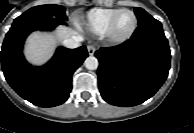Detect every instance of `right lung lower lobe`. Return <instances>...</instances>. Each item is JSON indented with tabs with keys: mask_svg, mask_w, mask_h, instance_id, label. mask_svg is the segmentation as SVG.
Segmentation results:
<instances>
[{
	"mask_svg": "<svg viewBox=\"0 0 194 133\" xmlns=\"http://www.w3.org/2000/svg\"><path fill=\"white\" fill-rule=\"evenodd\" d=\"M60 24L66 23L58 18L13 23L2 46V70L7 82L22 98L40 107H54L68 99L72 74L88 56L85 46L60 47L42 67L27 63L22 53L26 37L35 30H53Z\"/></svg>",
	"mask_w": 194,
	"mask_h": 133,
	"instance_id": "right-lung-lower-lobe-1",
	"label": "right lung lower lobe"
}]
</instances>
